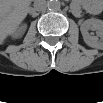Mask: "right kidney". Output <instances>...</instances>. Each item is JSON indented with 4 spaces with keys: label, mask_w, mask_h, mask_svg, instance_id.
Wrapping results in <instances>:
<instances>
[{
    "label": "right kidney",
    "mask_w": 103,
    "mask_h": 103,
    "mask_svg": "<svg viewBox=\"0 0 103 103\" xmlns=\"http://www.w3.org/2000/svg\"><path fill=\"white\" fill-rule=\"evenodd\" d=\"M25 31V28L24 27H22L21 29H20V31H19V35L21 34V33H23ZM16 36H18V35H16Z\"/></svg>",
    "instance_id": "right-kidney-1"
}]
</instances>
